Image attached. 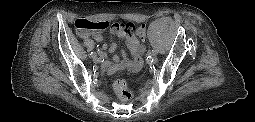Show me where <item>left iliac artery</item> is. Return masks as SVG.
<instances>
[{
	"label": "left iliac artery",
	"mask_w": 255,
	"mask_h": 122,
	"mask_svg": "<svg viewBox=\"0 0 255 122\" xmlns=\"http://www.w3.org/2000/svg\"><path fill=\"white\" fill-rule=\"evenodd\" d=\"M151 53H152L153 55H157V54H158V51L155 50V49H153V50L151 51Z\"/></svg>",
	"instance_id": "44dca946"
}]
</instances>
